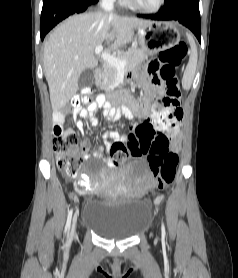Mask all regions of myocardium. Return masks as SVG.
Segmentation results:
<instances>
[{"instance_id":"f54148a6","label":"myocardium","mask_w":238,"mask_h":278,"mask_svg":"<svg viewBox=\"0 0 238 278\" xmlns=\"http://www.w3.org/2000/svg\"><path fill=\"white\" fill-rule=\"evenodd\" d=\"M128 1L134 9L145 14H154L159 12L163 8L166 2V0H158L157 4L154 7H144L140 5L136 0H128Z\"/></svg>"}]
</instances>
